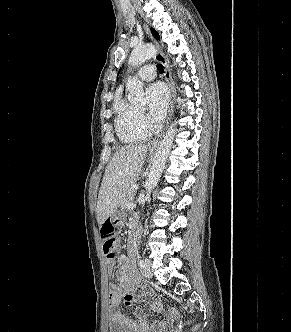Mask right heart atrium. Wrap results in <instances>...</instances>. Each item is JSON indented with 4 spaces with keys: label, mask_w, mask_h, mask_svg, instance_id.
Here are the masks:
<instances>
[{
    "label": "right heart atrium",
    "mask_w": 291,
    "mask_h": 332,
    "mask_svg": "<svg viewBox=\"0 0 291 332\" xmlns=\"http://www.w3.org/2000/svg\"><path fill=\"white\" fill-rule=\"evenodd\" d=\"M139 123L145 129L149 126L146 118L142 114L139 115Z\"/></svg>",
    "instance_id": "obj_1"
}]
</instances>
